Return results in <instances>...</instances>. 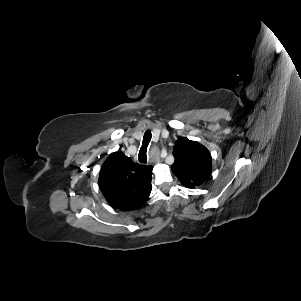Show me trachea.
Masks as SVG:
<instances>
[{"mask_svg":"<svg viewBox=\"0 0 301 301\" xmlns=\"http://www.w3.org/2000/svg\"><path fill=\"white\" fill-rule=\"evenodd\" d=\"M151 137H152V134H151L150 130H147L144 134L142 146L140 148L139 155H138V160L140 163H147L146 152H147V146L150 142Z\"/></svg>","mask_w":301,"mask_h":301,"instance_id":"trachea-1","label":"trachea"}]
</instances>
